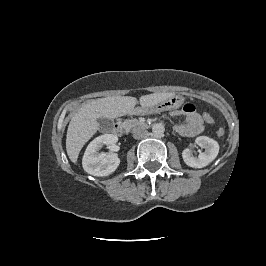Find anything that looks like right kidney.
Masks as SVG:
<instances>
[{
  "mask_svg": "<svg viewBox=\"0 0 266 266\" xmlns=\"http://www.w3.org/2000/svg\"><path fill=\"white\" fill-rule=\"evenodd\" d=\"M118 141V137L113 134H104L95 138L88 145L83 156V169L93 176H108L112 174L120 164V159L116 153L99 152L106 145L112 148Z\"/></svg>",
  "mask_w": 266,
  "mask_h": 266,
  "instance_id": "obj_1",
  "label": "right kidney"
}]
</instances>
